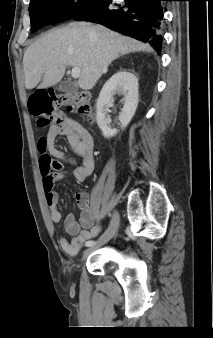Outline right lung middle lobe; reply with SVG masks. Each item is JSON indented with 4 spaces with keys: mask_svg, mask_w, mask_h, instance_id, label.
Masks as SVG:
<instances>
[{
    "mask_svg": "<svg viewBox=\"0 0 213 338\" xmlns=\"http://www.w3.org/2000/svg\"><path fill=\"white\" fill-rule=\"evenodd\" d=\"M96 0H31L29 13L31 31L35 32L45 25L60 23L71 19L76 13Z\"/></svg>",
    "mask_w": 213,
    "mask_h": 338,
    "instance_id": "right-lung-middle-lobe-1",
    "label": "right lung middle lobe"
}]
</instances>
